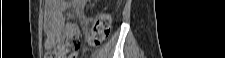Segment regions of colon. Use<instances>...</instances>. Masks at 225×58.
<instances>
[{"mask_svg": "<svg viewBox=\"0 0 225 58\" xmlns=\"http://www.w3.org/2000/svg\"><path fill=\"white\" fill-rule=\"evenodd\" d=\"M111 18L106 13L99 14L93 24L92 31L88 38V43L91 46L101 45L110 35ZM80 40L77 37L76 28H71L68 33L64 45L55 50L56 56H63L66 53L76 52L80 49Z\"/></svg>", "mask_w": 225, "mask_h": 58, "instance_id": "colon-1", "label": "colon"}]
</instances>
